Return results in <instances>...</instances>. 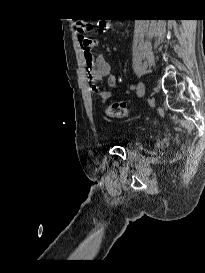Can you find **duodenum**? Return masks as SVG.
<instances>
[{"label": "duodenum", "instance_id": "1", "mask_svg": "<svg viewBox=\"0 0 205 273\" xmlns=\"http://www.w3.org/2000/svg\"><path fill=\"white\" fill-rule=\"evenodd\" d=\"M101 28H102V29H105V28H106V26H105V25H102V26H101Z\"/></svg>", "mask_w": 205, "mask_h": 273}]
</instances>
